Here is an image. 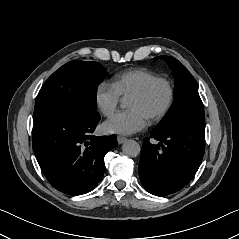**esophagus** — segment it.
I'll list each match as a JSON object with an SVG mask.
<instances>
[{"label": "esophagus", "mask_w": 239, "mask_h": 239, "mask_svg": "<svg viewBox=\"0 0 239 239\" xmlns=\"http://www.w3.org/2000/svg\"><path fill=\"white\" fill-rule=\"evenodd\" d=\"M126 140H127V138L124 137V136H117V142H118L119 144L124 143Z\"/></svg>", "instance_id": "esophagus-1"}]
</instances>
